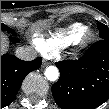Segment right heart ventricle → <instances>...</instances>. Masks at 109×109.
Segmentation results:
<instances>
[{
	"label": "right heart ventricle",
	"instance_id": "1",
	"mask_svg": "<svg viewBox=\"0 0 109 109\" xmlns=\"http://www.w3.org/2000/svg\"><path fill=\"white\" fill-rule=\"evenodd\" d=\"M88 31V27L82 23H74L66 29H59L49 35L38 34L34 36V42L38 48H43L45 55L53 53L60 48L78 42Z\"/></svg>",
	"mask_w": 109,
	"mask_h": 109
}]
</instances>
